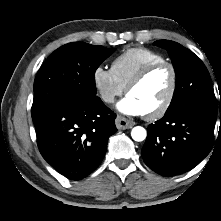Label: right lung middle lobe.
<instances>
[{
	"mask_svg": "<svg viewBox=\"0 0 221 221\" xmlns=\"http://www.w3.org/2000/svg\"><path fill=\"white\" fill-rule=\"evenodd\" d=\"M112 49L83 42L68 43L54 51L34 81L32 119L59 100L96 98L95 71Z\"/></svg>",
	"mask_w": 221,
	"mask_h": 221,
	"instance_id": "dd1d6c3e",
	"label": "right lung middle lobe"
}]
</instances>
